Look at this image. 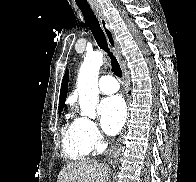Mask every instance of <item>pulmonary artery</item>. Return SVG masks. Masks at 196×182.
Returning <instances> with one entry per match:
<instances>
[{"label":"pulmonary artery","instance_id":"e3ab8cb5","mask_svg":"<svg viewBox=\"0 0 196 182\" xmlns=\"http://www.w3.org/2000/svg\"><path fill=\"white\" fill-rule=\"evenodd\" d=\"M99 89L104 94H113L118 91L119 85L113 76H103L98 83Z\"/></svg>","mask_w":196,"mask_h":182}]
</instances>
